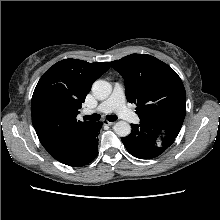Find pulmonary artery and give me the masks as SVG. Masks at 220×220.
Instances as JSON below:
<instances>
[{"label": "pulmonary artery", "instance_id": "obj_1", "mask_svg": "<svg viewBox=\"0 0 220 220\" xmlns=\"http://www.w3.org/2000/svg\"><path fill=\"white\" fill-rule=\"evenodd\" d=\"M87 114L100 113L109 114L116 113L119 117L131 123H139V117L125 105V93L124 88L120 83H115L113 92L108 99L100 103L94 109H86L84 111Z\"/></svg>", "mask_w": 220, "mask_h": 220}]
</instances>
